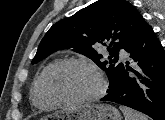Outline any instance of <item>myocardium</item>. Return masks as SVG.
Segmentation results:
<instances>
[{"label": "myocardium", "instance_id": "f54148a6", "mask_svg": "<svg viewBox=\"0 0 165 120\" xmlns=\"http://www.w3.org/2000/svg\"><path fill=\"white\" fill-rule=\"evenodd\" d=\"M70 64L83 65V66L89 68L96 75V77L99 81V87L93 94L84 96V97H80V98L68 99V98H63V97L59 96L54 91V89L52 87V78H53L54 74L61 67L65 66V65H70ZM44 84H45V89H46L48 95L56 103H64V104H83V103L94 102V101L100 99L106 91V81H105L102 73L100 72V70L97 68V66L94 63H92L84 58H78V57L64 58V59H61V60L55 62L48 70V72L45 76Z\"/></svg>", "mask_w": 165, "mask_h": 120}]
</instances>
